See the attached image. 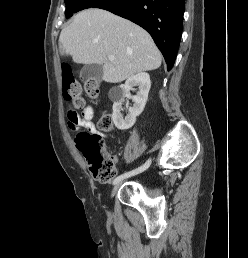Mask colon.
<instances>
[{
	"label": "colon",
	"mask_w": 248,
	"mask_h": 258,
	"mask_svg": "<svg viewBox=\"0 0 248 258\" xmlns=\"http://www.w3.org/2000/svg\"><path fill=\"white\" fill-rule=\"evenodd\" d=\"M64 97L72 103L74 109H80L84 105L81 96V84L71 77L68 68H64ZM85 90L89 97L97 99L100 95V84L96 79L89 78L84 83ZM99 128L104 132H111L114 129L112 115L108 112L101 114ZM76 148L82 153L88 163L94 177L102 182H111L117 174L115 160L106 150L102 137L97 132L89 130L80 131L75 136Z\"/></svg>",
	"instance_id": "obj_1"
}]
</instances>
